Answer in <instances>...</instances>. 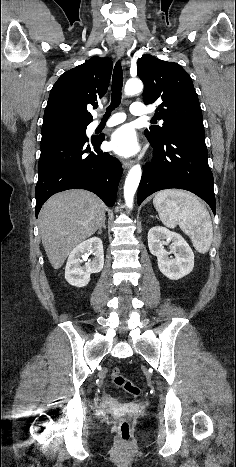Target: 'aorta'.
<instances>
[{"label": "aorta", "mask_w": 236, "mask_h": 467, "mask_svg": "<svg viewBox=\"0 0 236 467\" xmlns=\"http://www.w3.org/2000/svg\"><path fill=\"white\" fill-rule=\"evenodd\" d=\"M143 90V83L140 79H129L126 82L124 92L126 95H134L140 93ZM142 175L141 166L139 164L134 165L125 180L124 184V199L126 206L130 209L133 208V199L140 183Z\"/></svg>", "instance_id": "1"}]
</instances>
